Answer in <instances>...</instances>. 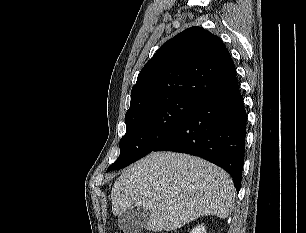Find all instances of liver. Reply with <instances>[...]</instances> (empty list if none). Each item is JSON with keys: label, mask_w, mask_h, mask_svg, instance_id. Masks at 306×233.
Here are the masks:
<instances>
[{"label": "liver", "mask_w": 306, "mask_h": 233, "mask_svg": "<svg viewBox=\"0 0 306 233\" xmlns=\"http://www.w3.org/2000/svg\"><path fill=\"white\" fill-rule=\"evenodd\" d=\"M236 191L229 174L201 158L153 152L123 171L112 187V212L133 205L150 212L146 229L172 231L204 215L227 218Z\"/></svg>", "instance_id": "liver-1"}]
</instances>
